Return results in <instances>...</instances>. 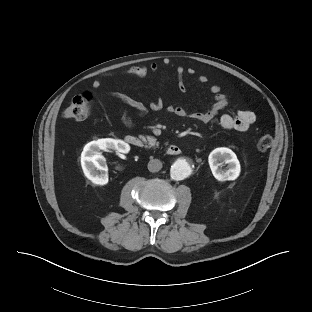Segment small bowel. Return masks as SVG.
<instances>
[{"label":"small bowel","mask_w":312,"mask_h":312,"mask_svg":"<svg viewBox=\"0 0 312 312\" xmlns=\"http://www.w3.org/2000/svg\"><path fill=\"white\" fill-rule=\"evenodd\" d=\"M158 69V64L153 62L150 64L149 68L146 66H133L125 70L123 73L129 77L144 78L149 74L150 71L156 73L158 72ZM177 76L179 80V91L184 93L186 91V87L184 85L185 73L182 68L177 70ZM207 81L208 78L203 75L197 78V82L201 85L206 84ZM102 82V78H96L93 81V87L99 88L102 85ZM210 92L213 94L214 101L204 111L189 113L177 105L168 106L167 111L178 117H185L201 123H208L212 121L218 115V113L228 105L226 96L220 93V88L218 86H211ZM113 96L123 102L125 105L134 109L136 116L138 117L143 116L147 112V106L137 99L124 94H115ZM152 107L154 109H159L161 108V104L159 102H155L152 104ZM255 119V114L252 111L243 110L238 112L236 115H223L220 118V126L225 130L246 131L254 123ZM121 121L126 127H132L135 123V119L125 109L121 112Z\"/></svg>","instance_id":"1"}]
</instances>
